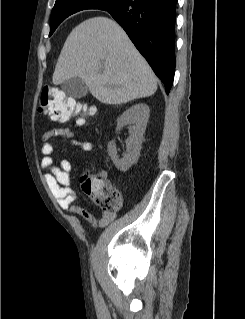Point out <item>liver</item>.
<instances>
[{
    "label": "liver",
    "mask_w": 245,
    "mask_h": 319,
    "mask_svg": "<svg viewBox=\"0 0 245 319\" xmlns=\"http://www.w3.org/2000/svg\"><path fill=\"white\" fill-rule=\"evenodd\" d=\"M78 77L93 97L124 104L157 90L156 76L116 21L96 16L67 37L52 77L54 85Z\"/></svg>",
    "instance_id": "obj_1"
}]
</instances>
